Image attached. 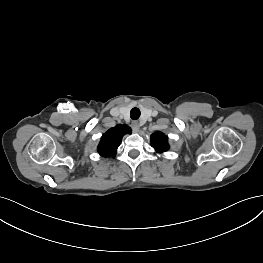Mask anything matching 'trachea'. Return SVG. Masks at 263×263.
Returning a JSON list of instances; mask_svg holds the SVG:
<instances>
[{"instance_id":"trachea-1","label":"trachea","mask_w":263,"mask_h":263,"mask_svg":"<svg viewBox=\"0 0 263 263\" xmlns=\"http://www.w3.org/2000/svg\"><path fill=\"white\" fill-rule=\"evenodd\" d=\"M140 110L138 108H133L130 111V117L131 119L137 120L140 117Z\"/></svg>"}]
</instances>
